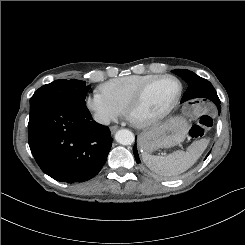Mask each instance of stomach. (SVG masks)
I'll list each match as a JSON object with an SVG mask.
<instances>
[{
  "label": "stomach",
  "mask_w": 245,
  "mask_h": 245,
  "mask_svg": "<svg viewBox=\"0 0 245 245\" xmlns=\"http://www.w3.org/2000/svg\"><path fill=\"white\" fill-rule=\"evenodd\" d=\"M189 131L187 120L174 117L140 134L139 146L145 153L159 148H170L184 141Z\"/></svg>",
  "instance_id": "stomach-1"
}]
</instances>
